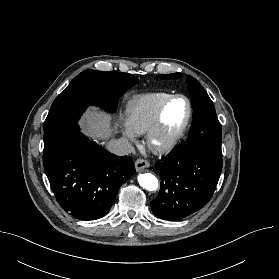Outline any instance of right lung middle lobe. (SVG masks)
<instances>
[{"label": "right lung middle lobe", "mask_w": 279, "mask_h": 279, "mask_svg": "<svg viewBox=\"0 0 279 279\" xmlns=\"http://www.w3.org/2000/svg\"><path fill=\"white\" fill-rule=\"evenodd\" d=\"M137 83L129 73L85 70L58 95L44 123L43 164L47 166L78 133L77 121L89 105L115 111L121 95Z\"/></svg>", "instance_id": "obj_1"}]
</instances>
